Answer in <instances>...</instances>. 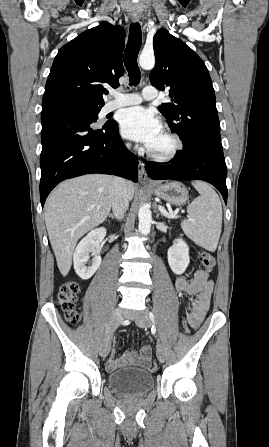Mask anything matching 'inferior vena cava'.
<instances>
[{
  "label": "inferior vena cava",
  "instance_id": "602c4592",
  "mask_svg": "<svg viewBox=\"0 0 269 447\" xmlns=\"http://www.w3.org/2000/svg\"><path fill=\"white\" fill-rule=\"evenodd\" d=\"M126 146L127 148H130L131 144H126ZM111 206L115 218H117V220H122L129 206L126 180H123V178H114L113 180Z\"/></svg>",
  "mask_w": 269,
  "mask_h": 447
}]
</instances>
